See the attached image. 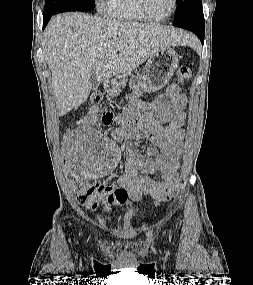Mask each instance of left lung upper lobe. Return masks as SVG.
<instances>
[{
	"instance_id": "1",
	"label": "left lung upper lobe",
	"mask_w": 253,
	"mask_h": 285,
	"mask_svg": "<svg viewBox=\"0 0 253 285\" xmlns=\"http://www.w3.org/2000/svg\"><path fill=\"white\" fill-rule=\"evenodd\" d=\"M202 0H177V12L175 13V23L184 19L191 13L201 9Z\"/></svg>"
}]
</instances>
